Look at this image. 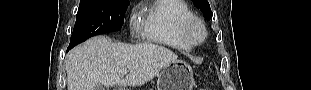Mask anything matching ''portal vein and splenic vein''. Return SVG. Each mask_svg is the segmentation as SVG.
Segmentation results:
<instances>
[{
    "instance_id": "obj_1",
    "label": "portal vein and splenic vein",
    "mask_w": 311,
    "mask_h": 90,
    "mask_svg": "<svg viewBox=\"0 0 311 90\" xmlns=\"http://www.w3.org/2000/svg\"><path fill=\"white\" fill-rule=\"evenodd\" d=\"M128 72V69L127 68H123L122 70H121V73L122 74H126Z\"/></svg>"
}]
</instances>
